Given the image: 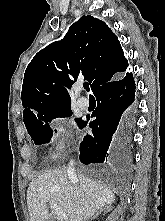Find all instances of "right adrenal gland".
Returning a JSON list of instances; mask_svg holds the SVG:
<instances>
[{
	"label": "right adrenal gland",
	"instance_id": "obj_1",
	"mask_svg": "<svg viewBox=\"0 0 165 221\" xmlns=\"http://www.w3.org/2000/svg\"><path fill=\"white\" fill-rule=\"evenodd\" d=\"M111 210V206H106L104 208H101L100 210H98L93 216L90 217V219H95L98 217V215L103 212V214L110 212Z\"/></svg>",
	"mask_w": 165,
	"mask_h": 221
}]
</instances>
